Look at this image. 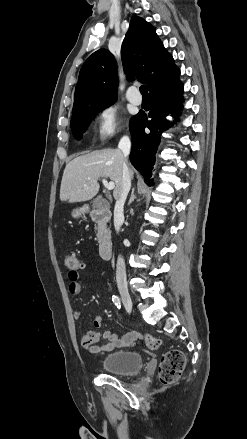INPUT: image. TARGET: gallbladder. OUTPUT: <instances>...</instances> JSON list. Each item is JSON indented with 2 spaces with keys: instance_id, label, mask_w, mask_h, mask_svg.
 <instances>
[{
  "instance_id": "1",
  "label": "gallbladder",
  "mask_w": 247,
  "mask_h": 439,
  "mask_svg": "<svg viewBox=\"0 0 247 439\" xmlns=\"http://www.w3.org/2000/svg\"><path fill=\"white\" fill-rule=\"evenodd\" d=\"M92 206H93L94 208H98V207H100V201H98V200H94V201L92 202Z\"/></svg>"
}]
</instances>
